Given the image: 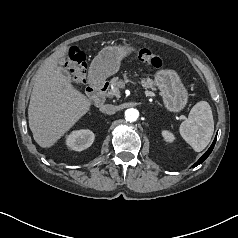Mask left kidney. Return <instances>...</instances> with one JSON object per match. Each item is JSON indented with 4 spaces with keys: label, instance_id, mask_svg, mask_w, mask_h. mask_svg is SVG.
<instances>
[{
    "label": "left kidney",
    "instance_id": "1",
    "mask_svg": "<svg viewBox=\"0 0 238 238\" xmlns=\"http://www.w3.org/2000/svg\"><path fill=\"white\" fill-rule=\"evenodd\" d=\"M162 136H163L164 140L169 143H172L175 140L174 134L168 130H163Z\"/></svg>",
    "mask_w": 238,
    "mask_h": 238
}]
</instances>
